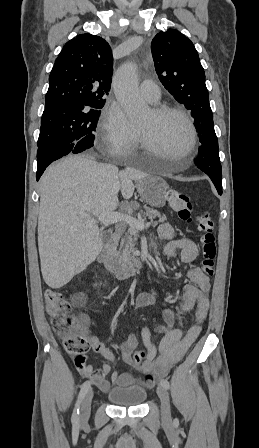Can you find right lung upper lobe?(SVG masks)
I'll list each match as a JSON object with an SVG mask.
<instances>
[{
	"instance_id": "1",
	"label": "right lung upper lobe",
	"mask_w": 259,
	"mask_h": 448,
	"mask_svg": "<svg viewBox=\"0 0 259 448\" xmlns=\"http://www.w3.org/2000/svg\"><path fill=\"white\" fill-rule=\"evenodd\" d=\"M113 58L101 37L81 34L68 41L49 76L43 114L70 113L104 105L111 87Z\"/></svg>"
}]
</instances>
